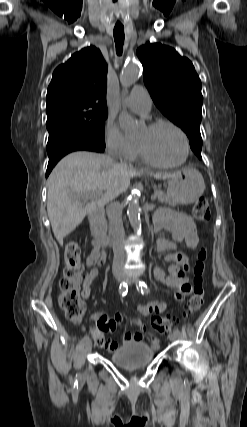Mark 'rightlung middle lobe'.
<instances>
[{
	"mask_svg": "<svg viewBox=\"0 0 247 427\" xmlns=\"http://www.w3.org/2000/svg\"><path fill=\"white\" fill-rule=\"evenodd\" d=\"M107 107H65L47 114L48 132L64 131L83 136L105 147Z\"/></svg>",
	"mask_w": 247,
	"mask_h": 427,
	"instance_id": "1",
	"label": "right lung middle lobe"
}]
</instances>
